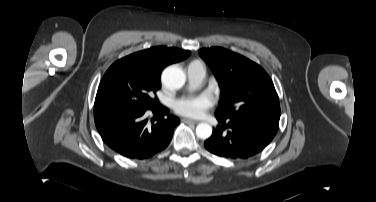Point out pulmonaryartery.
Instances as JSON below:
<instances>
[{"label":"pulmonary artery","mask_w":376,"mask_h":202,"mask_svg":"<svg viewBox=\"0 0 376 202\" xmlns=\"http://www.w3.org/2000/svg\"><path fill=\"white\" fill-rule=\"evenodd\" d=\"M187 75L191 85L198 86L206 76V68L202 62L194 61L188 66Z\"/></svg>","instance_id":"e3ab8cb5"}]
</instances>
